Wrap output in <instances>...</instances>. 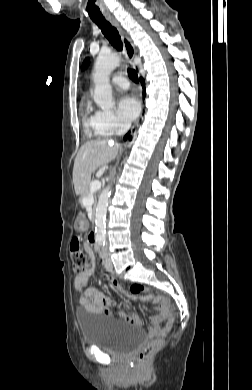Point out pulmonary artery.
Instances as JSON below:
<instances>
[{
    "label": "pulmonary artery",
    "mask_w": 252,
    "mask_h": 390,
    "mask_svg": "<svg viewBox=\"0 0 252 390\" xmlns=\"http://www.w3.org/2000/svg\"><path fill=\"white\" fill-rule=\"evenodd\" d=\"M111 82L115 87H118L121 89H127L129 87V83H128L127 79L123 76H120V75L113 76Z\"/></svg>",
    "instance_id": "pulmonary-artery-1"
}]
</instances>
